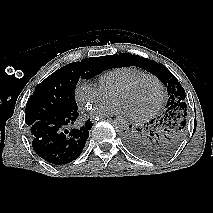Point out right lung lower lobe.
I'll return each instance as SVG.
<instances>
[{
  "mask_svg": "<svg viewBox=\"0 0 213 213\" xmlns=\"http://www.w3.org/2000/svg\"><path fill=\"white\" fill-rule=\"evenodd\" d=\"M79 123L78 111L39 120L29 127L34 151L45 161L64 165L80 156L92 127Z\"/></svg>",
  "mask_w": 213,
  "mask_h": 213,
  "instance_id": "98d812e1",
  "label": "right lung lower lobe"
}]
</instances>
